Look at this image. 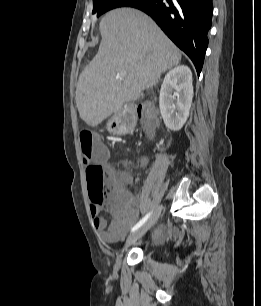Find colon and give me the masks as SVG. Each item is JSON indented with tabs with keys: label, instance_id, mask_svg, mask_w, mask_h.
Here are the masks:
<instances>
[{
	"label": "colon",
	"instance_id": "1",
	"mask_svg": "<svg viewBox=\"0 0 261 306\" xmlns=\"http://www.w3.org/2000/svg\"><path fill=\"white\" fill-rule=\"evenodd\" d=\"M130 115L136 118L145 131L150 133L154 125V115L148 105H138L131 109ZM121 123L125 125L127 118L122 117ZM81 146V156L86 165L88 190L92 198L102 197L106 193L110 194V184L112 173H110L100 163L107 157V149L103 146H96L91 131L83 130L79 136Z\"/></svg>",
	"mask_w": 261,
	"mask_h": 306
}]
</instances>
